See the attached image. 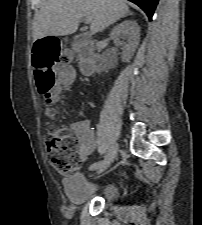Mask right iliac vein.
I'll use <instances>...</instances> for the list:
<instances>
[{"instance_id": "right-iliac-vein-1", "label": "right iliac vein", "mask_w": 202, "mask_h": 225, "mask_svg": "<svg viewBox=\"0 0 202 225\" xmlns=\"http://www.w3.org/2000/svg\"><path fill=\"white\" fill-rule=\"evenodd\" d=\"M118 146L117 144H113L109 150L107 155L105 156L103 164L98 168L96 171L97 174L103 173L105 170L110 167L111 163L114 161L116 155H117Z\"/></svg>"}]
</instances>
